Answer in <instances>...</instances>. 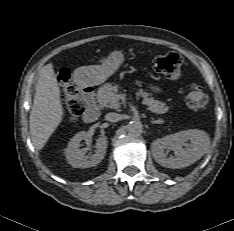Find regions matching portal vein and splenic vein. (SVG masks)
Listing matches in <instances>:
<instances>
[{"label": "portal vein and splenic vein", "instance_id": "18ae733b", "mask_svg": "<svg viewBox=\"0 0 234 231\" xmlns=\"http://www.w3.org/2000/svg\"><path fill=\"white\" fill-rule=\"evenodd\" d=\"M122 98H124V95H123V94L118 95L115 99H116V100H119V99H122Z\"/></svg>", "mask_w": 234, "mask_h": 231}]
</instances>
